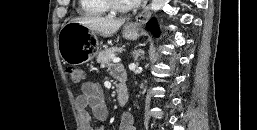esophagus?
Instances as JSON below:
<instances>
[{"mask_svg":"<svg viewBox=\"0 0 257 130\" xmlns=\"http://www.w3.org/2000/svg\"><path fill=\"white\" fill-rule=\"evenodd\" d=\"M150 9L151 5L149 4L140 14L136 16L134 24L139 25L145 23L151 15Z\"/></svg>","mask_w":257,"mask_h":130,"instance_id":"esophagus-1","label":"esophagus"}]
</instances>
